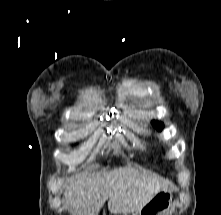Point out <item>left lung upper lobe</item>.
I'll list each match as a JSON object with an SVG mask.
<instances>
[{"instance_id":"1","label":"left lung upper lobe","mask_w":221,"mask_h":215,"mask_svg":"<svg viewBox=\"0 0 221 215\" xmlns=\"http://www.w3.org/2000/svg\"><path fill=\"white\" fill-rule=\"evenodd\" d=\"M152 124L158 131H161L163 129V123L161 122L152 121Z\"/></svg>"}]
</instances>
